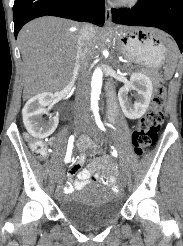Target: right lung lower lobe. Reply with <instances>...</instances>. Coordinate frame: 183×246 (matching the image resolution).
Instances as JSON below:
<instances>
[{"label": "right lung lower lobe", "mask_w": 183, "mask_h": 246, "mask_svg": "<svg viewBox=\"0 0 183 246\" xmlns=\"http://www.w3.org/2000/svg\"><path fill=\"white\" fill-rule=\"evenodd\" d=\"M46 15L103 26L105 5L103 0H15L13 6L15 37L17 38L25 23Z\"/></svg>", "instance_id": "right-lung-lower-lobe-1"}]
</instances>
